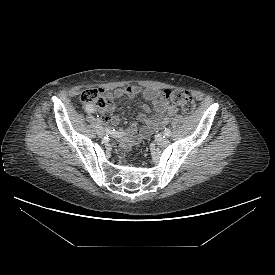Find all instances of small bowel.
<instances>
[{"mask_svg":"<svg viewBox=\"0 0 275 275\" xmlns=\"http://www.w3.org/2000/svg\"><path fill=\"white\" fill-rule=\"evenodd\" d=\"M100 93L105 99V106L102 108L97 107V109L104 113L105 120L113 126H117L120 122L119 118L113 115L116 99L122 97L133 98L141 94L144 99L152 102L154 111L152 115V110L148 105H143V111L138 115V120L144 122L146 126L137 135L133 137L125 136L118 141L116 149L121 156L134 144L141 142L154 131L166 126L170 119L178 113V107L164 100L161 97V91L157 89H143L140 86L131 85L116 88L112 91L100 89Z\"/></svg>","mask_w":275,"mask_h":275,"instance_id":"c3829d8e","label":"small bowel"}]
</instances>
